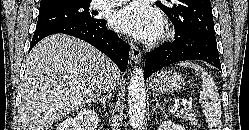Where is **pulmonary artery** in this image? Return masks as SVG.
Returning a JSON list of instances; mask_svg holds the SVG:
<instances>
[{"mask_svg":"<svg viewBox=\"0 0 249 130\" xmlns=\"http://www.w3.org/2000/svg\"><path fill=\"white\" fill-rule=\"evenodd\" d=\"M128 0H94V6L96 8L113 7L125 3Z\"/></svg>","mask_w":249,"mask_h":130,"instance_id":"pulmonary-artery-1","label":"pulmonary artery"}]
</instances>
